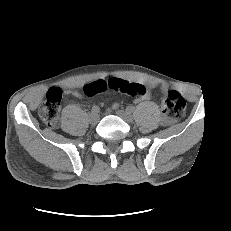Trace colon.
Masks as SVG:
<instances>
[{
	"mask_svg": "<svg viewBox=\"0 0 231 231\" xmlns=\"http://www.w3.org/2000/svg\"><path fill=\"white\" fill-rule=\"evenodd\" d=\"M105 91H115L137 97L144 94L145 88L138 83L119 78L96 80L84 87V92L88 96H94ZM61 97L62 94L59 89H51L39 108L41 120L50 128H56L59 124ZM164 109L175 117H181L186 110V101L178 92L169 90L164 96Z\"/></svg>",
	"mask_w": 231,
	"mask_h": 231,
	"instance_id": "colon-1",
	"label": "colon"
}]
</instances>
